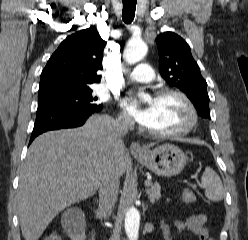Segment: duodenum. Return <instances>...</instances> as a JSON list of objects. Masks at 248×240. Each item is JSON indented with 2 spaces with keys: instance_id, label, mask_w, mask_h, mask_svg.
I'll use <instances>...</instances> for the list:
<instances>
[{
  "instance_id": "obj_1",
  "label": "duodenum",
  "mask_w": 248,
  "mask_h": 240,
  "mask_svg": "<svg viewBox=\"0 0 248 240\" xmlns=\"http://www.w3.org/2000/svg\"><path fill=\"white\" fill-rule=\"evenodd\" d=\"M87 240H96V233L94 230L87 231Z\"/></svg>"
}]
</instances>
